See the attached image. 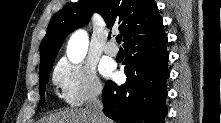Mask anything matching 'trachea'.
I'll return each mask as SVG.
<instances>
[{
    "mask_svg": "<svg viewBox=\"0 0 221 123\" xmlns=\"http://www.w3.org/2000/svg\"><path fill=\"white\" fill-rule=\"evenodd\" d=\"M121 40H122V36H117L116 37V41L120 44L121 43Z\"/></svg>",
    "mask_w": 221,
    "mask_h": 123,
    "instance_id": "1",
    "label": "trachea"
}]
</instances>
